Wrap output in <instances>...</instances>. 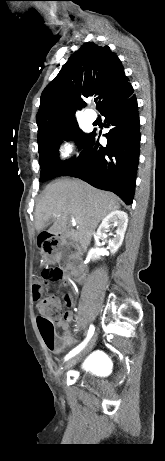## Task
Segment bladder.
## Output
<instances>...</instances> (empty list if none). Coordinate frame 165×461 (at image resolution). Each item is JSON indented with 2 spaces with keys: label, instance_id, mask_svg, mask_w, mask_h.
Wrapping results in <instances>:
<instances>
[{
  "label": "bladder",
  "instance_id": "obj_1",
  "mask_svg": "<svg viewBox=\"0 0 165 461\" xmlns=\"http://www.w3.org/2000/svg\"><path fill=\"white\" fill-rule=\"evenodd\" d=\"M102 368V363L98 358L92 359L85 364V369L87 371H97Z\"/></svg>",
  "mask_w": 165,
  "mask_h": 461
}]
</instances>
